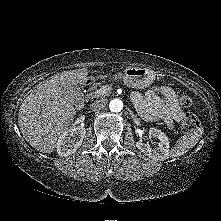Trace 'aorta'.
I'll return each mask as SVG.
<instances>
[{
	"label": "aorta",
	"mask_w": 221,
	"mask_h": 221,
	"mask_svg": "<svg viewBox=\"0 0 221 221\" xmlns=\"http://www.w3.org/2000/svg\"><path fill=\"white\" fill-rule=\"evenodd\" d=\"M109 109L111 112L118 113L123 109V102L120 99H112L109 103Z\"/></svg>",
	"instance_id": "aorta-1"
}]
</instances>
